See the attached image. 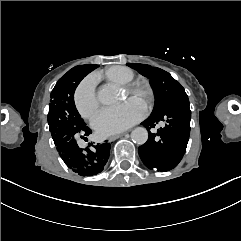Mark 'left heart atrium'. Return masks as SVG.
<instances>
[{
	"mask_svg": "<svg viewBox=\"0 0 241 241\" xmlns=\"http://www.w3.org/2000/svg\"><path fill=\"white\" fill-rule=\"evenodd\" d=\"M143 109L127 111L123 108H103L91 119L92 126L102 135L122 133L143 119Z\"/></svg>",
	"mask_w": 241,
	"mask_h": 241,
	"instance_id": "obj_1",
	"label": "left heart atrium"
}]
</instances>
